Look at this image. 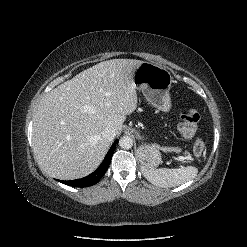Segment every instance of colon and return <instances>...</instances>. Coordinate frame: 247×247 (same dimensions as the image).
<instances>
[{
	"label": "colon",
	"mask_w": 247,
	"mask_h": 247,
	"mask_svg": "<svg viewBox=\"0 0 247 247\" xmlns=\"http://www.w3.org/2000/svg\"><path fill=\"white\" fill-rule=\"evenodd\" d=\"M199 123V114L196 110L190 109L184 113L178 124V131L184 138H192L195 136ZM206 148L205 141L202 138H196L193 142V152L195 155H201Z\"/></svg>",
	"instance_id": "5ec220e1"
}]
</instances>
